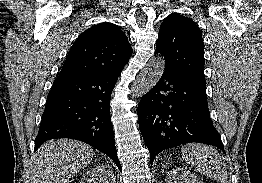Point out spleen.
<instances>
[{"label":"spleen","instance_id":"spleen-1","mask_svg":"<svg viewBox=\"0 0 262 183\" xmlns=\"http://www.w3.org/2000/svg\"><path fill=\"white\" fill-rule=\"evenodd\" d=\"M181 152L185 162L201 174L218 183L228 182L226 166L214 148L204 144H187Z\"/></svg>","mask_w":262,"mask_h":183}]
</instances>
